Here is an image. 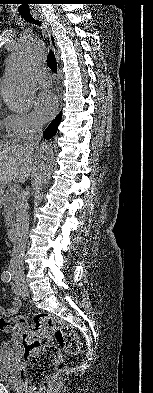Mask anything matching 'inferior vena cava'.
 <instances>
[{"label":"inferior vena cava","instance_id":"inferior-vena-cava-1","mask_svg":"<svg viewBox=\"0 0 153 393\" xmlns=\"http://www.w3.org/2000/svg\"><path fill=\"white\" fill-rule=\"evenodd\" d=\"M42 137V128L38 124H33L29 130L26 141L23 144L24 150L29 154H34V148L38 145ZM30 188H26L18 197L16 205L15 240L13 252L10 259L9 271L12 274H24V254L26 249V239L29 229L28 199Z\"/></svg>","mask_w":153,"mask_h":393}]
</instances>
